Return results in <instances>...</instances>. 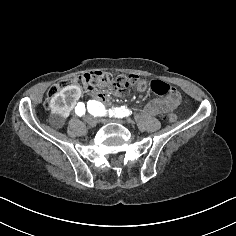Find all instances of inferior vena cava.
Masks as SVG:
<instances>
[{"instance_id": "1", "label": "inferior vena cava", "mask_w": 236, "mask_h": 236, "mask_svg": "<svg viewBox=\"0 0 236 236\" xmlns=\"http://www.w3.org/2000/svg\"><path fill=\"white\" fill-rule=\"evenodd\" d=\"M85 120H86V122H87L88 124H90V125H94V124H96L97 121H98L97 118H95V117L92 118V117H89V116L86 117Z\"/></svg>"}]
</instances>
